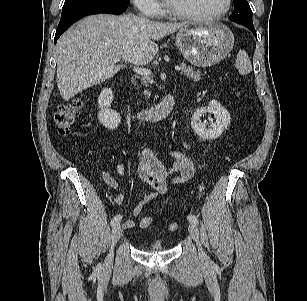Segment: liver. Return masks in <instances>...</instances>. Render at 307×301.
Returning a JSON list of instances; mask_svg holds the SVG:
<instances>
[{
  "label": "liver",
  "instance_id": "liver-1",
  "mask_svg": "<svg viewBox=\"0 0 307 301\" xmlns=\"http://www.w3.org/2000/svg\"><path fill=\"white\" fill-rule=\"evenodd\" d=\"M186 23L155 22L126 14L88 16L70 27L58 40L57 85L62 98L113 77L124 63L146 65L158 52L163 37ZM121 62L115 65L111 60Z\"/></svg>",
  "mask_w": 307,
  "mask_h": 301
}]
</instances>
